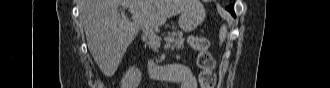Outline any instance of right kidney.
Here are the masks:
<instances>
[{
	"mask_svg": "<svg viewBox=\"0 0 330 88\" xmlns=\"http://www.w3.org/2000/svg\"><path fill=\"white\" fill-rule=\"evenodd\" d=\"M142 73L136 67H130L123 75L121 88H137L141 81Z\"/></svg>",
	"mask_w": 330,
	"mask_h": 88,
	"instance_id": "ca27d5eb",
	"label": "right kidney"
}]
</instances>
